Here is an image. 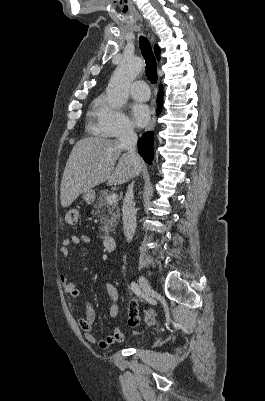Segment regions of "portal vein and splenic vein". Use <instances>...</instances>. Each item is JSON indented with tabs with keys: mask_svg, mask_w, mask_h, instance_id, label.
<instances>
[{
	"mask_svg": "<svg viewBox=\"0 0 265 401\" xmlns=\"http://www.w3.org/2000/svg\"><path fill=\"white\" fill-rule=\"evenodd\" d=\"M117 198V194H115V192H113V194H110V196H107V203H109V205H112V203H115Z\"/></svg>",
	"mask_w": 265,
	"mask_h": 401,
	"instance_id": "1",
	"label": "portal vein and splenic vein"
}]
</instances>
